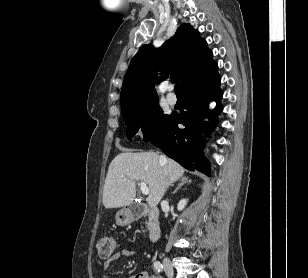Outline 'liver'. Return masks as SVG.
I'll list each match as a JSON object with an SVG mask.
<instances>
[{"mask_svg":"<svg viewBox=\"0 0 308 278\" xmlns=\"http://www.w3.org/2000/svg\"><path fill=\"white\" fill-rule=\"evenodd\" d=\"M166 168L168 176L164 175ZM184 174V168L172 159L160 162L156 152H122L110 163L103 188L105 208L130 205L136 196V181L148 185V205L154 208L162 199L168 186Z\"/></svg>","mask_w":308,"mask_h":278,"instance_id":"obj_1","label":"liver"}]
</instances>
